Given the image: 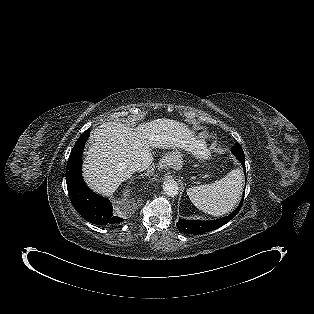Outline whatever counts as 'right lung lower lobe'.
<instances>
[{
	"label": "right lung lower lobe",
	"mask_w": 314,
	"mask_h": 314,
	"mask_svg": "<svg viewBox=\"0 0 314 314\" xmlns=\"http://www.w3.org/2000/svg\"><path fill=\"white\" fill-rule=\"evenodd\" d=\"M90 131L83 133L71 151L67 168L66 183L69 198L76 211L87 221L96 225L117 224L123 221L119 212L113 211L110 201L92 192L81 175L82 153Z\"/></svg>",
	"instance_id": "98d812e1"
}]
</instances>
